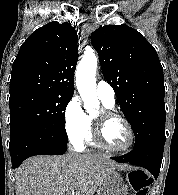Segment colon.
<instances>
[{
	"instance_id": "colon-1",
	"label": "colon",
	"mask_w": 178,
	"mask_h": 195,
	"mask_svg": "<svg viewBox=\"0 0 178 195\" xmlns=\"http://www.w3.org/2000/svg\"><path fill=\"white\" fill-rule=\"evenodd\" d=\"M131 183L135 190V195H147L151 180L148 174L142 171H135L131 174Z\"/></svg>"
}]
</instances>
